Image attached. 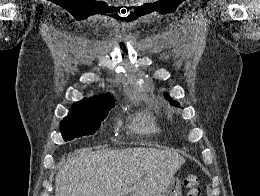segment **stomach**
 Wrapping results in <instances>:
<instances>
[{"instance_id":"0dacf381","label":"stomach","mask_w":260,"mask_h":196,"mask_svg":"<svg viewBox=\"0 0 260 196\" xmlns=\"http://www.w3.org/2000/svg\"><path fill=\"white\" fill-rule=\"evenodd\" d=\"M168 185H181V180H168ZM161 196H181V187H166Z\"/></svg>"}]
</instances>
